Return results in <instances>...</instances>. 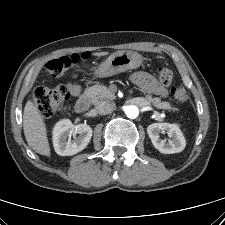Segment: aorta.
Here are the masks:
<instances>
[{"mask_svg": "<svg viewBox=\"0 0 225 225\" xmlns=\"http://www.w3.org/2000/svg\"><path fill=\"white\" fill-rule=\"evenodd\" d=\"M125 113L128 118L135 119L139 115V109L135 105H129L126 107Z\"/></svg>", "mask_w": 225, "mask_h": 225, "instance_id": "obj_1", "label": "aorta"}]
</instances>
